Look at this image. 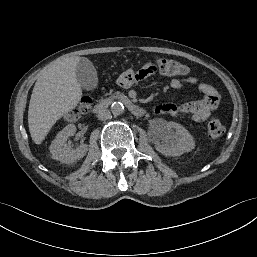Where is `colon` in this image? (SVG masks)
Masks as SVG:
<instances>
[{
	"label": "colon",
	"instance_id": "obj_1",
	"mask_svg": "<svg viewBox=\"0 0 257 257\" xmlns=\"http://www.w3.org/2000/svg\"><path fill=\"white\" fill-rule=\"evenodd\" d=\"M158 65V74L164 76H180L185 75L189 72V69L183 63L172 60L166 59L161 57H156L154 60ZM89 108V103L86 99H83L76 110L74 115H79L86 112ZM224 133V126L222 122L217 118H212L209 120L207 124V136L211 140L219 139Z\"/></svg>",
	"mask_w": 257,
	"mask_h": 257
}]
</instances>
